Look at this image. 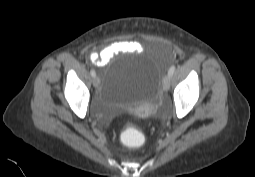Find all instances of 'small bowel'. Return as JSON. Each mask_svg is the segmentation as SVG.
<instances>
[{
	"instance_id": "1",
	"label": "small bowel",
	"mask_w": 255,
	"mask_h": 177,
	"mask_svg": "<svg viewBox=\"0 0 255 177\" xmlns=\"http://www.w3.org/2000/svg\"><path fill=\"white\" fill-rule=\"evenodd\" d=\"M142 46L134 41H122L111 44L100 52H92L90 61L97 66L107 65L117 54L122 52L140 51Z\"/></svg>"
}]
</instances>
